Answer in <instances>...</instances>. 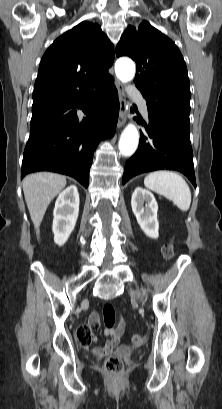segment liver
Wrapping results in <instances>:
<instances>
[{
	"label": "liver",
	"instance_id": "obj_1",
	"mask_svg": "<svg viewBox=\"0 0 222 409\" xmlns=\"http://www.w3.org/2000/svg\"><path fill=\"white\" fill-rule=\"evenodd\" d=\"M22 185L31 220L39 236V227L47 207L65 188L66 177L51 172H38L26 176Z\"/></svg>",
	"mask_w": 222,
	"mask_h": 409
}]
</instances>
